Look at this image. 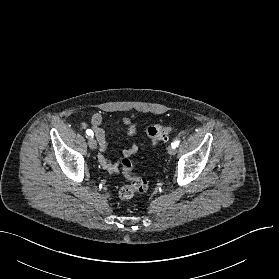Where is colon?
<instances>
[{"label": "colon", "instance_id": "colon-1", "mask_svg": "<svg viewBox=\"0 0 279 279\" xmlns=\"http://www.w3.org/2000/svg\"><path fill=\"white\" fill-rule=\"evenodd\" d=\"M173 130L171 126L161 124H151L147 129V134L153 146L168 139L169 133ZM121 169L129 184L121 186L117 191V196L121 200H128L136 193L145 192L148 189L146 179L133 175V164L130 159L124 158L121 161Z\"/></svg>", "mask_w": 279, "mask_h": 279}]
</instances>
